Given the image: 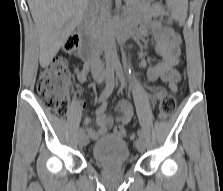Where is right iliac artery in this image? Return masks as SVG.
<instances>
[{
  "mask_svg": "<svg viewBox=\"0 0 223 191\" xmlns=\"http://www.w3.org/2000/svg\"><path fill=\"white\" fill-rule=\"evenodd\" d=\"M115 85L114 80V68L109 66L106 68V86L100 95V99H107L112 93ZM80 133H83V129H80Z\"/></svg>",
  "mask_w": 223,
  "mask_h": 191,
  "instance_id": "82829eb1",
  "label": "right iliac artery"
}]
</instances>
